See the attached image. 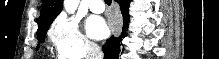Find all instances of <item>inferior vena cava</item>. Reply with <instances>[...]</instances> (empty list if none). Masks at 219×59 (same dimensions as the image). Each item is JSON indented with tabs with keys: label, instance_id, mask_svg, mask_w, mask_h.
I'll list each match as a JSON object with an SVG mask.
<instances>
[{
	"label": "inferior vena cava",
	"instance_id": "obj_1",
	"mask_svg": "<svg viewBox=\"0 0 219 59\" xmlns=\"http://www.w3.org/2000/svg\"><path fill=\"white\" fill-rule=\"evenodd\" d=\"M103 52L97 44L86 43V59H103Z\"/></svg>",
	"mask_w": 219,
	"mask_h": 59
}]
</instances>
